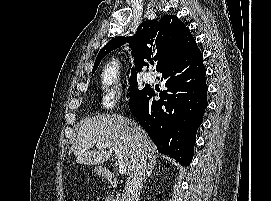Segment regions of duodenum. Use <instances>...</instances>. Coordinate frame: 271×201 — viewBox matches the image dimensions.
<instances>
[{
	"instance_id": "410a0bca",
	"label": "duodenum",
	"mask_w": 271,
	"mask_h": 201,
	"mask_svg": "<svg viewBox=\"0 0 271 201\" xmlns=\"http://www.w3.org/2000/svg\"><path fill=\"white\" fill-rule=\"evenodd\" d=\"M104 178L110 186H112V187L119 186V182H118L116 176L112 172L106 171L104 174Z\"/></svg>"
}]
</instances>
